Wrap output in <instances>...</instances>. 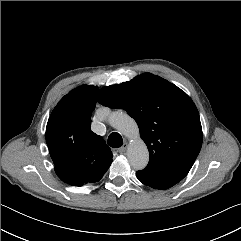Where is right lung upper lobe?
I'll use <instances>...</instances> for the list:
<instances>
[{
	"label": "right lung upper lobe",
	"mask_w": 241,
	"mask_h": 241,
	"mask_svg": "<svg viewBox=\"0 0 241 241\" xmlns=\"http://www.w3.org/2000/svg\"><path fill=\"white\" fill-rule=\"evenodd\" d=\"M99 89L83 85L64 96L48 120L46 142L55 170L84 182H97L112 163L113 154L103 138L91 131V113Z\"/></svg>",
	"instance_id": "right-lung-upper-lobe-1"
}]
</instances>
